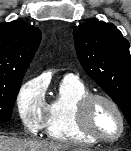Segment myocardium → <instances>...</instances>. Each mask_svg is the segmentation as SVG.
<instances>
[{"mask_svg":"<svg viewBox=\"0 0 131 151\" xmlns=\"http://www.w3.org/2000/svg\"><path fill=\"white\" fill-rule=\"evenodd\" d=\"M98 102H104L111 106L119 118L120 131L115 137L108 138L101 136L92 127V110L95 104ZM76 120L78 127L83 134L97 142L102 143H114L118 141L123 136L126 129L125 116L118 103L111 97L99 93H88L87 95L81 98L77 105Z\"/></svg>","mask_w":131,"mask_h":151,"instance_id":"f54148a6","label":"myocardium"}]
</instances>
